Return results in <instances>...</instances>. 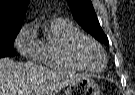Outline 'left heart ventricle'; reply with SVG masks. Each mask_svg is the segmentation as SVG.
<instances>
[{"mask_svg": "<svg viewBox=\"0 0 135 95\" xmlns=\"http://www.w3.org/2000/svg\"><path fill=\"white\" fill-rule=\"evenodd\" d=\"M80 60L92 69H100L104 64L101 52L90 42L83 41L77 47Z\"/></svg>", "mask_w": 135, "mask_h": 95, "instance_id": "1", "label": "left heart ventricle"}]
</instances>
